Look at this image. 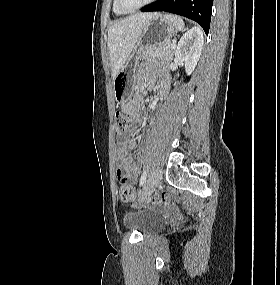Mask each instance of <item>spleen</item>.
<instances>
[{
  "label": "spleen",
  "mask_w": 280,
  "mask_h": 285,
  "mask_svg": "<svg viewBox=\"0 0 280 285\" xmlns=\"http://www.w3.org/2000/svg\"><path fill=\"white\" fill-rule=\"evenodd\" d=\"M166 17L174 23L179 31L184 29V22L180 17L175 15H167Z\"/></svg>",
  "instance_id": "obj_1"
}]
</instances>
